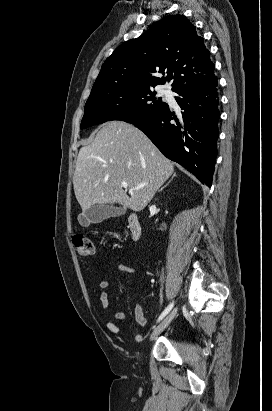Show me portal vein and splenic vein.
Wrapping results in <instances>:
<instances>
[{
    "label": "portal vein and splenic vein",
    "instance_id": "portal-vein-and-splenic-vein-1",
    "mask_svg": "<svg viewBox=\"0 0 272 411\" xmlns=\"http://www.w3.org/2000/svg\"><path fill=\"white\" fill-rule=\"evenodd\" d=\"M144 185H145V184L140 185V186H137V187H134V188H131L130 191L135 190V189H139V188L143 187ZM122 187L125 188V189H127V188H128V184H127L126 182H123V183H122Z\"/></svg>",
    "mask_w": 272,
    "mask_h": 411
}]
</instances>
